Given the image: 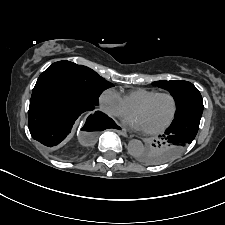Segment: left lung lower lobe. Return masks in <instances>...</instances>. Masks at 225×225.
Returning <instances> with one entry per match:
<instances>
[{
    "label": "left lung lower lobe",
    "mask_w": 225,
    "mask_h": 225,
    "mask_svg": "<svg viewBox=\"0 0 225 225\" xmlns=\"http://www.w3.org/2000/svg\"><path fill=\"white\" fill-rule=\"evenodd\" d=\"M201 114H191L186 117L173 121L169 128L162 135V138H167L173 141V149L163 153L161 156H156L154 159L160 163L167 162L181 153V150L190 144L195 138Z\"/></svg>",
    "instance_id": "obj_1"
}]
</instances>
